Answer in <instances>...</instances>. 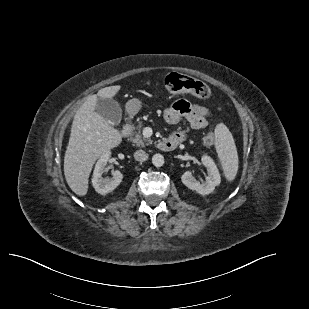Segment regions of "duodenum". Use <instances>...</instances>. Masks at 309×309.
<instances>
[{
	"label": "duodenum",
	"instance_id": "obj_1",
	"mask_svg": "<svg viewBox=\"0 0 309 309\" xmlns=\"http://www.w3.org/2000/svg\"><path fill=\"white\" fill-rule=\"evenodd\" d=\"M130 131H131L130 121L127 120L124 126L122 127L120 134L122 137H127L130 134ZM179 143H180L179 139L169 137L162 139L157 146L162 151H171L175 149Z\"/></svg>",
	"mask_w": 309,
	"mask_h": 309
}]
</instances>
